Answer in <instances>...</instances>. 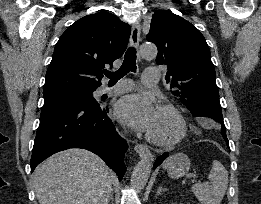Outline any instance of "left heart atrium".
<instances>
[{
  "label": "left heart atrium",
  "mask_w": 261,
  "mask_h": 204,
  "mask_svg": "<svg viewBox=\"0 0 261 204\" xmlns=\"http://www.w3.org/2000/svg\"><path fill=\"white\" fill-rule=\"evenodd\" d=\"M157 107L146 94H129L121 98L115 106L116 117L131 128L149 131L156 116Z\"/></svg>",
  "instance_id": "left-heart-atrium-1"
}]
</instances>
